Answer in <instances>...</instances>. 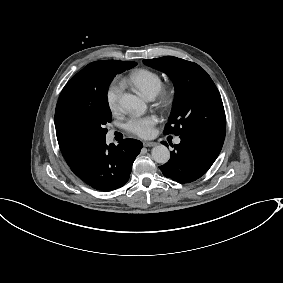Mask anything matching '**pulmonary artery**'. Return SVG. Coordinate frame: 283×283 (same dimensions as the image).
Returning <instances> with one entry per match:
<instances>
[{"instance_id":"obj_1","label":"pulmonary artery","mask_w":283,"mask_h":283,"mask_svg":"<svg viewBox=\"0 0 283 283\" xmlns=\"http://www.w3.org/2000/svg\"><path fill=\"white\" fill-rule=\"evenodd\" d=\"M152 97L153 96H150V95L148 96L149 99H151ZM113 136H114V131L113 130L109 131L108 134H107V137H106L107 143L112 142ZM180 142H181L180 138L175 139L176 144H179Z\"/></svg>"}]
</instances>
